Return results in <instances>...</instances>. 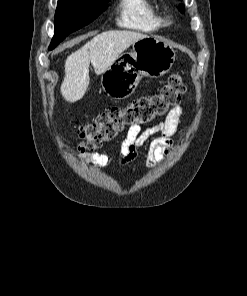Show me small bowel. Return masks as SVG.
Here are the masks:
<instances>
[{"label": "small bowel", "instance_id": "c3829d8e", "mask_svg": "<svg viewBox=\"0 0 247 296\" xmlns=\"http://www.w3.org/2000/svg\"><path fill=\"white\" fill-rule=\"evenodd\" d=\"M183 113V107L178 105L171 109L165 121L158 122L144 130L138 125L132 126L122 143L117 164L125 166L133 162L138 156V149L156 134L159 136L152 139L148 145L145 154L146 164L149 169H154L158 164L164 162L176 147L172 137L176 133ZM83 159L87 163H92L96 170L110 166L114 162V159L109 155L98 152L84 154Z\"/></svg>", "mask_w": 247, "mask_h": 296}]
</instances>
